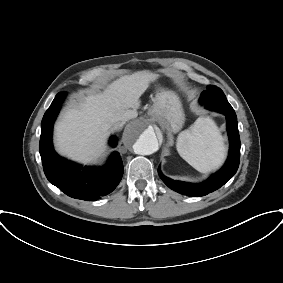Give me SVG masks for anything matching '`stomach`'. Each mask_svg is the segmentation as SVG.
Instances as JSON below:
<instances>
[{
    "label": "stomach",
    "mask_w": 283,
    "mask_h": 283,
    "mask_svg": "<svg viewBox=\"0 0 283 283\" xmlns=\"http://www.w3.org/2000/svg\"><path fill=\"white\" fill-rule=\"evenodd\" d=\"M149 115L167 122L173 132L180 130L185 121L179 97L172 91L161 90L155 96Z\"/></svg>",
    "instance_id": "1"
}]
</instances>
